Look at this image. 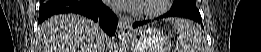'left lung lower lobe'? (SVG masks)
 I'll list each match as a JSON object with an SVG mask.
<instances>
[{"label": "left lung lower lobe", "instance_id": "1", "mask_svg": "<svg viewBox=\"0 0 261 52\" xmlns=\"http://www.w3.org/2000/svg\"><path fill=\"white\" fill-rule=\"evenodd\" d=\"M167 17H184V18H189V19H192V20H195L199 23L202 22V19H198L196 18L195 16L187 13V12H184V11H174V10H171L170 12L160 16V18H167ZM159 19V18H158ZM149 22V20H144V21H139V22H135L133 24V28H136L138 26H141V25H144V24H147Z\"/></svg>", "mask_w": 261, "mask_h": 52}]
</instances>
